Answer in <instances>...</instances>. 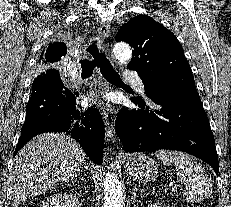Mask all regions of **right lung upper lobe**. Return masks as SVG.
<instances>
[{"label":"right lung upper lobe","mask_w":231,"mask_h":207,"mask_svg":"<svg viewBox=\"0 0 231 207\" xmlns=\"http://www.w3.org/2000/svg\"><path fill=\"white\" fill-rule=\"evenodd\" d=\"M67 53L66 44L62 42H55L50 44L41 54V61L43 63H53L61 59Z\"/></svg>","instance_id":"1"}]
</instances>
